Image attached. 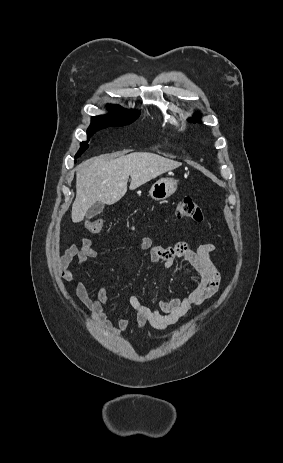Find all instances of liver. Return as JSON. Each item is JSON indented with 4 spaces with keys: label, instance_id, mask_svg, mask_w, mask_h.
<instances>
[{
    "label": "liver",
    "instance_id": "1",
    "mask_svg": "<svg viewBox=\"0 0 283 463\" xmlns=\"http://www.w3.org/2000/svg\"><path fill=\"white\" fill-rule=\"evenodd\" d=\"M181 165L178 161L148 152H135L117 158L99 156L84 161L76 171L72 221L81 222L97 202L112 205L119 201L127 192L129 176V189L134 190Z\"/></svg>",
    "mask_w": 283,
    "mask_h": 463
}]
</instances>
